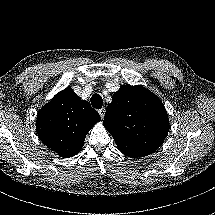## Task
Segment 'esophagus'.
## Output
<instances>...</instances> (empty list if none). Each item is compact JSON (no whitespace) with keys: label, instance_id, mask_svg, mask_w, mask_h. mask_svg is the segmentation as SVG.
<instances>
[{"label":"esophagus","instance_id":"34e87169","mask_svg":"<svg viewBox=\"0 0 215 215\" xmlns=\"http://www.w3.org/2000/svg\"><path fill=\"white\" fill-rule=\"evenodd\" d=\"M105 112L106 109L104 107H102L101 109L98 110V114L100 115V117L103 119L105 116Z\"/></svg>","mask_w":215,"mask_h":215}]
</instances>
